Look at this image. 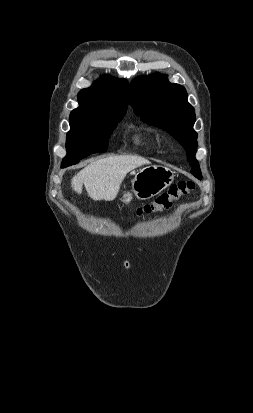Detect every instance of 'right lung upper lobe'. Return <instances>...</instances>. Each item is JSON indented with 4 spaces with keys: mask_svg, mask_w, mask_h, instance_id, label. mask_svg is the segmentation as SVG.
<instances>
[{
    "mask_svg": "<svg viewBox=\"0 0 253 413\" xmlns=\"http://www.w3.org/2000/svg\"><path fill=\"white\" fill-rule=\"evenodd\" d=\"M128 82L102 76L91 87L78 93L79 107L70 114V122L96 120L125 115L128 107Z\"/></svg>",
    "mask_w": 253,
    "mask_h": 413,
    "instance_id": "cb5924a9",
    "label": "right lung upper lobe"
}]
</instances>
